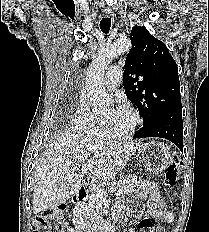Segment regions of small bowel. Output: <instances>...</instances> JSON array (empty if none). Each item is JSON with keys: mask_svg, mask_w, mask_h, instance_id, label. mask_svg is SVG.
Segmentation results:
<instances>
[{"mask_svg": "<svg viewBox=\"0 0 209 232\" xmlns=\"http://www.w3.org/2000/svg\"><path fill=\"white\" fill-rule=\"evenodd\" d=\"M138 196L141 199H147L148 215L141 221L142 232H164L163 229L154 224V221L163 220L171 222L173 216L167 209L157 185L153 182L145 181L141 186ZM125 208L124 206H118L114 211V217L119 218Z\"/></svg>", "mask_w": 209, "mask_h": 232, "instance_id": "obj_1", "label": "small bowel"}]
</instances>
